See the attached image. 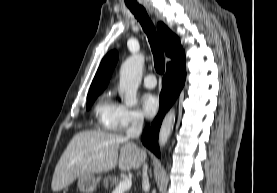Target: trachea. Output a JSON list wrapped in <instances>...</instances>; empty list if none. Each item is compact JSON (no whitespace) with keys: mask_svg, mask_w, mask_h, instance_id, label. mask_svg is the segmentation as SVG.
Listing matches in <instances>:
<instances>
[{"mask_svg":"<svg viewBox=\"0 0 277 193\" xmlns=\"http://www.w3.org/2000/svg\"><path fill=\"white\" fill-rule=\"evenodd\" d=\"M128 8L140 22L145 31L154 56V67L158 73L162 74L165 70L164 51L152 21L143 6L128 5Z\"/></svg>","mask_w":277,"mask_h":193,"instance_id":"3493384b","label":"trachea"}]
</instances>
